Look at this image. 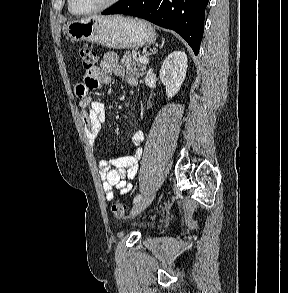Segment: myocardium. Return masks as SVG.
<instances>
[{
    "mask_svg": "<svg viewBox=\"0 0 288 293\" xmlns=\"http://www.w3.org/2000/svg\"><path fill=\"white\" fill-rule=\"evenodd\" d=\"M119 1L120 0H108L107 2H105L104 4H102L96 8L86 10V11H78L73 7V0H68V8L72 14L78 15V16H84V15H89V14L97 13V12L103 11L105 9H108V8L114 6L115 4H117Z\"/></svg>",
    "mask_w": 288,
    "mask_h": 293,
    "instance_id": "1",
    "label": "myocardium"
}]
</instances>
